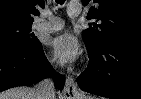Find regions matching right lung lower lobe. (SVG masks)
Segmentation results:
<instances>
[{"label":"right lung lower lobe","instance_id":"98d812e1","mask_svg":"<svg viewBox=\"0 0 141 99\" xmlns=\"http://www.w3.org/2000/svg\"><path fill=\"white\" fill-rule=\"evenodd\" d=\"M49 74H54L55 84L62 90L64 77L53 71L40 42L29 46L0 45V92L31 85Z\"/></svg>","mask_w":141,"mask_h":99}]
</instances>
